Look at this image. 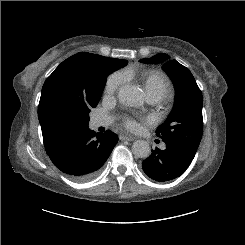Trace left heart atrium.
<instances>
[{
    "mask_svg": "<svg viewBox=\"0 0 245 245\" xmlns=\"http://www.w3.org/2000/svg\"><path fill=\"white\" fill-rule=\"evenodd\" d=\"M123 124L127 129L131 131L138 130L140 126L139 123L135 119L128 117V116L123 118Z\"/></svg>",
    "mask_w": 245,
    "mask_h": 245,
    "instance_id": "1",
    "label": "left heart atrium"
}]
</instances>
